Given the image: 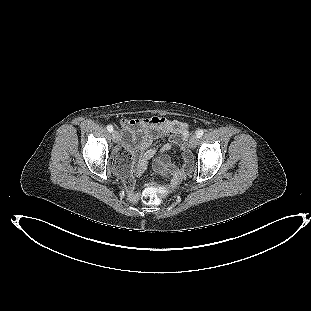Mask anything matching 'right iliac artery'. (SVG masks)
Here are the masks:
<instances>
[{"label": "right iliac artery", "instance_id": "obj_1", "mask_svg": "<svg viewBox=\"0 0 311 311\" xmlns=\"http://www.w3.org/2000/svg\"><path fill=\"white\" fill-rule=\"evenodd\" d=\"M107 130H108L109 132H112V131H113V126H112V125H108V126H107Z\"/></svg>", "mask_w": 311, "mask_h": 311}]
</instances>
